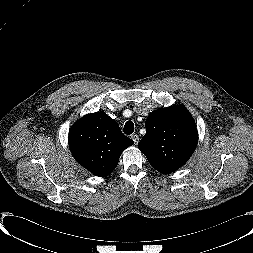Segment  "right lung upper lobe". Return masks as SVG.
Instances as JSON below:
<instances>
[{
	"instance_id": "right-lung-upper-lobe-1",
	"label": "right lung upper lobe",
	"mask_w": 253,
	"mask_h": 253,
	"mask_svg": "<svg viewBox=\"0 0 253 253\" xmlns=\"http://www.w3.org/2000/svg\"><path fill=\"white\" fill-rule=\"evenodd\" d=\"M68 141L75 160L101 177L116 168L121 153L134 143L103 111L88 114L75 122Z\"/></svg>"
}]
</instances>
